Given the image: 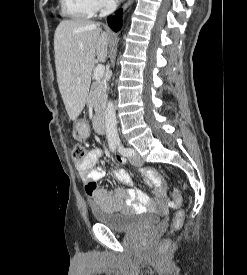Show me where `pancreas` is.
Segmentation results:
<instances>
[{"mask_svg": "<svg viewBox=\"0 0 247 275\" xmlns=\"http://www.w3.org/2000/svg\"><path fill=\"white\" fill-rule=\"evenodd\" d=\"M107 102V86L104 79H96L91 86L87 99L89 106L94 107L95 112L100 114L104 111Z\"/></svg>", "mask_w": 247, "mask_h": 275, "instance_id": "1", "label": "pancreas"}]
</instances>
